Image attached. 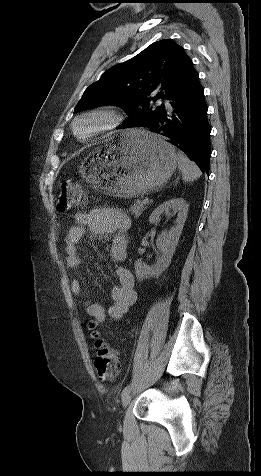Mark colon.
<instances>
[{
	"instance_id": "obj_1",
	"label": "colon",
	"mask_w": 261,
	"mask_h": 476,
	"mask_svg": "<svg viewBox=\"0 0 261 476\" xmlns=\"http://www.w3.org/2000/svg\"><path fill=\"white\" fill-rule=\"evenodd\" d=\"M84 202L81 184L75 180L62 183L57 198V208L67 212ZM96 354L94 364L98 377L103 381L113 380L119 372V361L114 349L98 333H94Z\"/></svg>"
}]
</instances>
